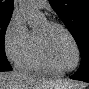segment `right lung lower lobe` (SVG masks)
Returning a JSON list of instances; mask_svg holds the SVG:
<instances>
[{
    "instance_id": "98d812e1",
    "label": "right lung lower lobe",
    "mask_w": 89,
    "mask_h": 89,
    "mask_svg": "<svg viewBox=\"0 0 89 89\" xmlns=\"http://www.w3.org/2000/svg\"><path fill=\"white\" fill-rule=\"evenodd\" d=\"M12 67L10 66L6 56L3 59H0V71H11Z\"/></svg>"
}]
</instances>
